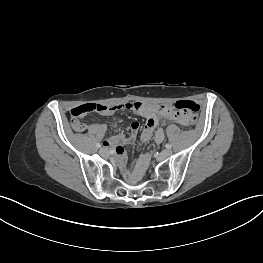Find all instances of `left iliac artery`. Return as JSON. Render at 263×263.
I'll list each match as a JSON object with an SVG mask.
<instances>
[{
    "instance_id": "left-iliac-artery-1",
    "label": "left iliac artery",
    "mask_w": 263,
    "mask_h": 263,
    "mask_svg": "<svg viewBox=\"0 0 263 263\" xmlns=\"http://www.w3.org/2000/svg\"><path fill=\"white\" fill-rule=\"evenodd\" d=\"M165 147H166L167 149H171L172 145H171V144H166Z\"/></svg>"
}]
</instances>
